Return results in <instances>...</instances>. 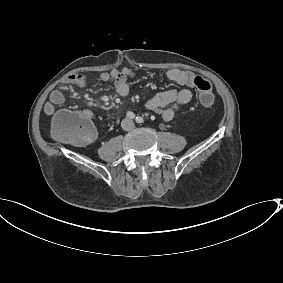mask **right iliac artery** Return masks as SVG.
I'll list each match as a JSON object with an SVG mask.
<instances>
[{"label":"right iliac artery","mask_w":283,"mask_h":283,"mask_svg":"<svg viewBox=\"0 0 283 283\" xmlns=\"http://www.w3.org/2000/svg\"><path fill=\"white\" fill-rule=\"evenodd\" d=\"M126 116H127L128 118H130V119H134V118H135V114H134L133 112H130V111H128V112L126 113Z\"/></svg>","instance_id":"82829eb1"}]
</instances>
